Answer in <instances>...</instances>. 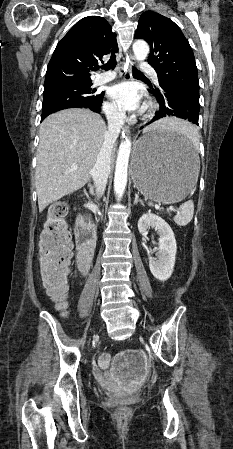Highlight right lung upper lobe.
Segmentation results:
<instances>
[{"label":"right lung upper lobe","instance_id":"right-lung-upper-lobe-1","mask_svg":"<svg viewBox=\"0 0 233 449\" xmlns=\"http://www.w3.org/2000/svg\"><path fill=\"white\" fill-rule=\"evenodd\" d=\"M111 49L117 51L118 45L110 24L99 16L83 18L57 44L47 67L44 91L90 84L89 71Z\"/></svg>","mask_w":233,"mask_h":449}]
</instances>
